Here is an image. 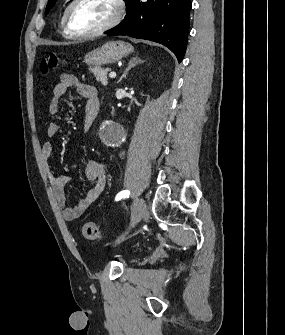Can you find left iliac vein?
I'll return each instance as SVG.
<instances>
[{"label":"left iliac vein","instance_id":"4c4485c4","mask_svg":"<svg viewBox=\"0 0 285 335\" xmlns=\"http://www.w3.org/2000/svg\"><path fill=\"white\" fill-rule=\"evenodd\" d=\"M148 217L146 203L142 198L136 199L131 209V225L138 223L140 220ZM125 235L120 236L116 242L123 239Z\"/></svg>","mask_w":285,"mask_h":335}]
</instances>
